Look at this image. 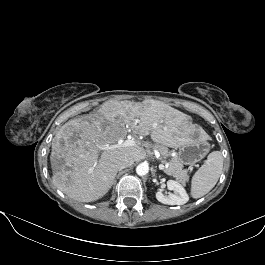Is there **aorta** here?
<instances>
[{
  "instance_id": "obj_1",
  "label": "aorta",
  "mask_w": 265,
  "mask_h": 265,
  "mask_svg": "<svg viewBox=\"0 0 265 265\" xmlns=\"http://www.w3.org/2000/svg\"><path fill=\"white\" fill-rule=\"evenodd\" d=\"M149 172V166L146 163H141L136 167V173L139 176H144Z\"/></svg>"
}]
</instances>
